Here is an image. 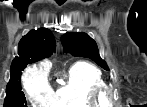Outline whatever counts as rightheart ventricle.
Masks as SVG:
<instances>
[{
  "label": "right heart ventricle",
  "instance_id": "e07e8e85",
  "mask_svg": "<svg viewBox=\"0 0 147 107\" xmlns=\"http://www.w3.org/2000/svg\"><path fill=\"white\" fill-rule=\"evenodd\" d=\"M105 86L100 69L87 62L71 66L66 82L53 93L49 101L52 107H97L91 101L94 90Z\"/></svg>",
  "mask_w": 147,
  "mask_h": 107
}]
</instances>
